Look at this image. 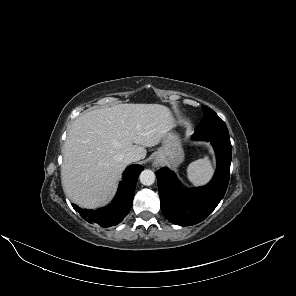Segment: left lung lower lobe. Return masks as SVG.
<instances>
[{
  "mask_svg": "<svg viewBox=\"0 0 296 296\" xmlns=\"http://www.w3.org/2000/svg\"><path fill=\"white\" fill-rule=\"evenodd\" d=\"M193 138L211 142L216 153L217 170L208 185L181 193L172 171L163 167L155 172L162 212L171 223L181 226L207 218L223 198L229 183L232 146L228 129L195 131Z\"/></svg>",
  "mask_w": 296,
  "mask_h": 296,
  "instance_id": "left-lung-lower-lobe-1",
  "label": "left lung lower lobe"
}]
</instances>
